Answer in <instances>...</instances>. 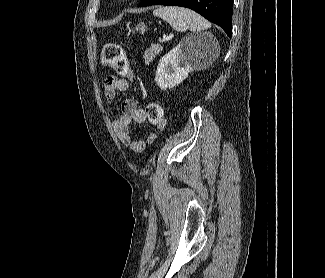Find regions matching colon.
<instances>
[{"mask_svg": "<svg viewBox=\"0 0 325 278\" xmlns=\"http://www.w3.org/2000/svg\"><path fill=\"white\" fill-rule=\"evenodd\" d=\"M101 63L112 68L118 75H130V67L125 50L116 43L104 45L101 55ZM145 116L148 122L161 126L165 119L164 109L160 104L151 103L145 109Z\"/></svg>", "mask_w": 325, "mask_h": 278, "instance_id": "obj_1", "label": "colon"}]
</instances>
